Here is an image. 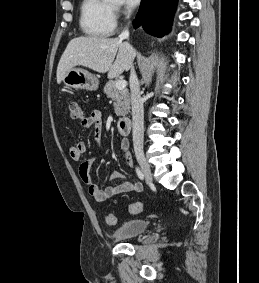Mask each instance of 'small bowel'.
Returning a JSON list of instances; mask_svg holds the SVG:
<instances>
[{
  "label": "small bowel",
  "instance_id": "small-bowel-1",
  "mask_svg": "<svg viewBox=\"0 0 259 283\" xmlns=\"http://www.w3.org/2000/svg\"><path fill=\"white\" fill-rule=\"evenodd\" d=\"M81 125L86 129L93 131V137L96 143H100L102 139V113L99 110H94L81 121ZM120 150L123 153L126 164L130 167L133 166L134 161L129 153V142L127 139H121L119 142ZM86 151V144L84 142H78L69 149V156L72 160L79 162L78 174L82 182L87 186L88 193L94 197L98 202H104L118 194L124 192L140 193L143 191V185L140 182H133L125 180V176L120 172H112L110 180L115 181L117 179L123 180L119 184L111 185L105 189H100L94 182L92 177V166L95 157H90L81 161L82 155Z\"/></svg>",
  "mask_w": 259,
  "mask_h": 283
}]
</instances>
